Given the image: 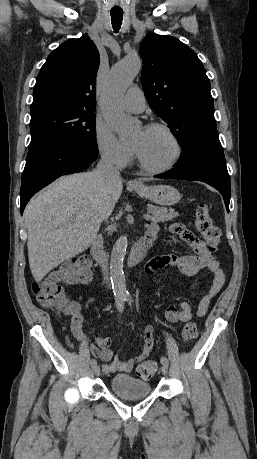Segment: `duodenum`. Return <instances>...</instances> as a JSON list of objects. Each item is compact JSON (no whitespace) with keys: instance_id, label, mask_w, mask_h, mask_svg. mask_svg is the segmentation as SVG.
I'll list each match as a JSON object with an SVG mask.
<instances>
[{"instance_id":"1","label":"duodenum","mask_w":257,"mask_h":459,"mask_svg":"<svg viewBox=\"0 0 257 459\" xmlns=\"http://www.w3.org/2000/svg\"><path fill=\"white\" fill-rule=\"evenodd\" d=\"M156 236L157 231L149 230L146 232L145 236L137 243V245L132 249V251L129 254L128 264L130 266L138 264L146 256ZM103 245V236H96L92 243V254L94 258H96L100 262L104 259Z\"/></svg>"}]
</instances>
